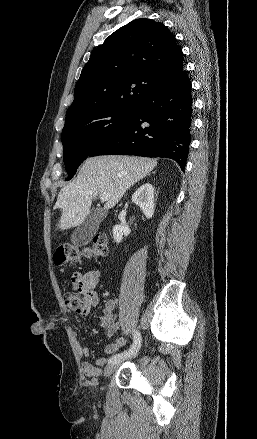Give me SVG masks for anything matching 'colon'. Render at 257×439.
Returning <instances> with one entry per match:
<instances>
[{"instance_id": "5ec220e1", "label": "colon", "mask_w": 257, "mask_h": 439, "mask_svg": "<svg viewBox=\"0 0 257 439\" xmlns=\"http://www.w3.org/2000/svg\"><path fill=\"white\" fill-rule=\"evenodd\" d=\"M107 253V237L104 233H98L93 242L84 247L78 248L73 245L60 246L53 255L56 265H66L78 261L81 257H101ZM85 294L79 289L67 292L64 295V302L71 311L81 313L85 307Z\"/></svg>"}]
</instances>
